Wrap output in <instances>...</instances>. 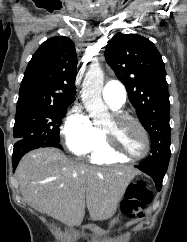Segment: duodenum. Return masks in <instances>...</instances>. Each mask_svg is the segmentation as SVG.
<instances>
[{"instance_id": "obj_1", "label": "duodenum", "mask_w": 187, "mask_h": 242, "mask_svg": "<svg viewBox=\"0 0 187 242\" xmlns=\"http://www.w3.org/2000/svg\"><path fill=\"white\" fill-rule=\"evenodd\" d=\"M83 228H84V229H88V228H89V226H84Z\"/></svg>"}]
</instances>
